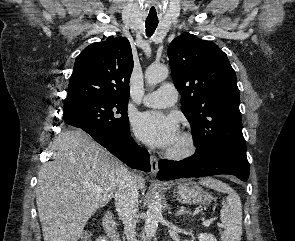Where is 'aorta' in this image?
I'll return each instance as SVG.
<instances>
[{"mask_svg": "<svg viewBox=\"0 0 295 241\" xmlns=\"http://www.w3.org/2000/svg\"><path fill=\"white\" fill-rule=\"evenodd\" d=\"M169 70L167 66L151 65L145 72V80L149 85H156L168 76ZM162 216V204L159 196L151 200L145 217V233L148 237H153L156 233L159 220Z\"/></svg>", "mask_w": 295, "mask_h": 241, "instance_id": "1", "label": "aorta"}]
</instances>
